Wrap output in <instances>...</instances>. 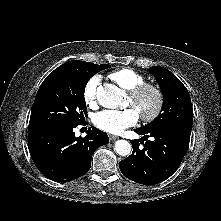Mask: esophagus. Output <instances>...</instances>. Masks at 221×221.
Wrapping results in <instances>:
<instances>
[{
    "label": "esophagus",
    "mask_w": 221,
    "mask_h": 221,
    "mask_svg": "<svg viewBox=\"0 0 221 221\" xmlns=\"http://www.w3.org/2000/svg\"><path fill=\"white\" fill-rule=\"evenodd\" d=\"M119 137L118 136H116V135H109V139L111 140V141H113V140H116V139H118Z\"/></svg>",
    "instance_id": "34e87169"
}]
</instances>
